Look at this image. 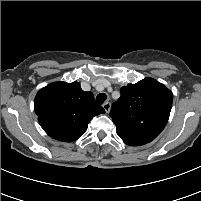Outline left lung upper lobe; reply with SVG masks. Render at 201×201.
Returning a JSON list of instances; mask_svg holds the SVG:
<instances>
[{"instance_id": "obj_1", "label": "left lung upper lobe", "mask_w": 201, "mask_h": 201, "mask_svg": "<svg viewBox=\"0 0 201 201\" xmlns=\"http://www.w3.org/2000/svg\"><path fill=\"white\" fill-rule=\"evenodd\" d=\"M110 116L122 139L149 143L164 129L169 119L173 94L162 83L147 77L120 89Z\"/></svg>"}]
</instances>
